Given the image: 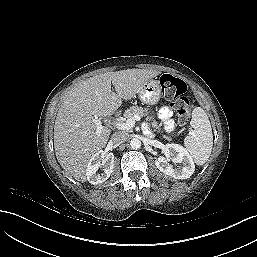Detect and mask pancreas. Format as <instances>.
<instances>
[{
  "instance_id": "obj_1",
  "label": "pancreas",
  "mask_w": 257,
  "mask_h": 257,
  "mask_svg": "<svg viewBox=\"0 0 257 257\" xmlns=\"http://www.w3.org/2000/svg\"><path fill=\"white\" fill-rule=\"evenodd\" d=\"M134 115H138L140 117H143V116L146 117L145 120L150 122L148 123V126L154 128V131L160 132V126L155 120H153V117L149 116V113L146 109L138 106H132L129 109H127L124 113V117L127 120L132 118ZM164 138L169 139L166 136H164Z\"/></svg>"
}]
</instances>
